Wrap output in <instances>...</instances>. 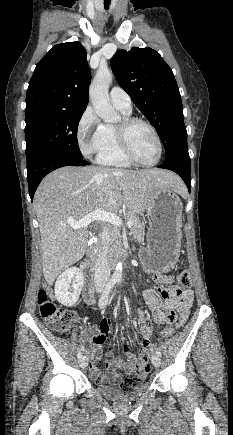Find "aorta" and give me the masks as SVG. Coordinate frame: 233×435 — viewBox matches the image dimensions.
Instances as JSON below:
<instances>
[{
	"label": "aorta",
	"instance_id": "762f6f07",
	"mask_svg": "<svg viewBox=\"0 0 233 435\" xmlns=\"http://www.w3.org/2000/svg\"><path fill=\"white\" fill-rule=\"evenodd\" d=\"M113 74L108 68H99L89 88V98L96 114L106 122H117L120 116L109 102V86ZM113 278L117 281L122 279V264L116 265Z\"/></svg>",
	"mask_w": 233,
	"mask_h": 435
}]
</instances>
